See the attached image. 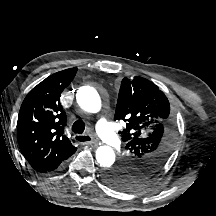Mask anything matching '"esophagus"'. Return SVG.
I'll use <instances>...</instances> for the list:
<instances>
[{
  "instance_id": "esophagus-1",
  "label": "esophagus",
  "mask_w": 216,
  "mask_h": 216,
  "mask_svg": "<svg viewBox=\"0 0 216 216\" xmlns=\"http://www.w3.org/2000/svg\"><path fill=\"white\" fill-rule=\"evenodd\" d=\"M81 137H85L86 138V141H80L79 139ZM75 140L80 142V143H83V144H90V145H97L98 144V141L96 139H94L93 137L89 136V135H76L75 136Z\"/></svg>"
}]
</instances>
